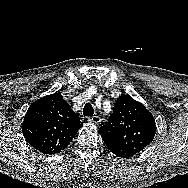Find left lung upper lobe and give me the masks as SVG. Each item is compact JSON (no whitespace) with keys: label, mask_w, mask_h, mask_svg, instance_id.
Listing matches in <instances>:
<instances>
[{"label":"left lung upper lobe","mask_w":188,"mask_h":188,"mask_svg":"<svg viewBox=\"0 0 188 188\" xmlns=\"http://www.w3.org/2000/svg\"><path fill=\"white\" fill-rule=\"evenodd\" d=\"M155 119L129 95L117 100L108 122L99 129L105 144L125 157L141 152L155 136Z\"/></svg>","instance_id":"5c2ea615"}]
</instances>
